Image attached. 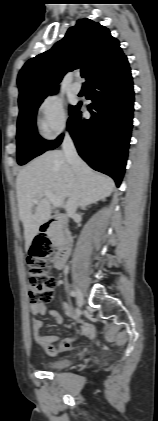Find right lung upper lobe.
<instances>
[{
    "label": "right lung upper lobe",
    "mask_w": 158,
    "mask_h": 421,
    "mask_svg": "<svg viewBox=\"0 0 158 421\" xmlns=\"http://www.w3.org/2000/svg\"><path fill=\"white\" fill-rule=\"evenodd\" d=\"M122 53L119 41L108 28L87 18L80 19L52 49L30 59L20 70L18 102L56 92V85L73 69L81 68L88 80Z\"/></svg>",
    "instance_id": "obj_1"
}]
</instances>
